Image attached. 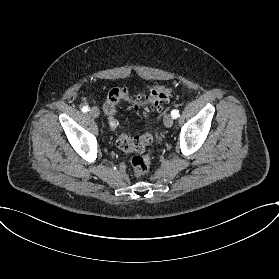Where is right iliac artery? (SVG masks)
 <instances>
[{"label": "right iliac artery", "mask_w": 279, "mask_h": 279, "mask_svg": "<svg viewBox=\"0 0 279 279\" xmlns=\"http://www.w3.org/2000/svg\"><path fill=\"white\" fill-rule=\"evenodd\" d=\"M87 111H89L88 106H83V108H82V112H87Z\"/></svg>", "instance_id": "right-iliac-artery-1"}]
</instances>
